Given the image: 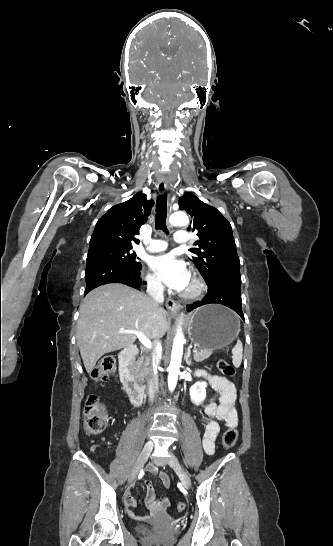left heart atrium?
<instances>
[{
    "instance_id": "1",
    "label": "left heart atrium",
    "mask_w": 333,
    "mask_h": 546,
    "mask_svg": "<svg viewBox=\"0 0 333 546\" xmlns=\"http://www.w3.org/2000/svg\"><path fill=\"white\" fill-rule=\"evenodd\" d=\"M151 268L165 284L175 290H185L190 283V274L185 264L173 253L154 257Z\"/></svg>"
}]
</instances>
